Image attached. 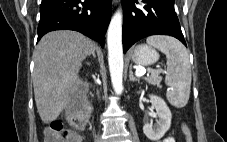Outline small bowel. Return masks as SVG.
<instances>
[{
	"label": "small bowel",
	"instance_id": "obj_1",
	"mask_svg": "<svg viewBox=\"0 0 227 142\" xmlns=\"http://www.w3.org/2000/svg\"><path fill=\"white\" fill-rule=\"evenodd\" d=\"M158 142H175V139L172 136H167Z\"/></svg>",
	"mask_w": 227,
	"mask_h": 142
}]
</instances>
